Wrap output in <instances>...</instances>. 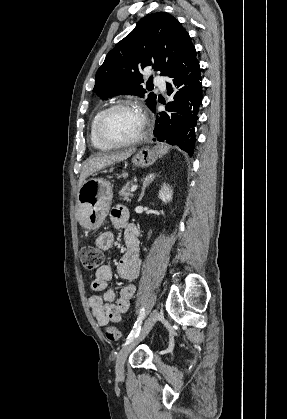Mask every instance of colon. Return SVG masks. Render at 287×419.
Returning a JSON list of instances; mask_svg holds the SVG:
<instances>
[{"mask_svg": "<svg viewBox=\"0 0 287 419\" xmlns=\"http://www.w3.org/2000/svg\"><path fill=\"white\" fill-rule=\"evenodd\" d=\"M81 260L85 270L96 271L102 265L104 256L100 249L89 245L82 248ZM104 334L106 339L111 342L121 339V332L117 327H107Z\"/></svg>", "mask_w": 287, "mask_h": 419, "instance_id": "colon-1", "label": "colon"}]
</instances>
